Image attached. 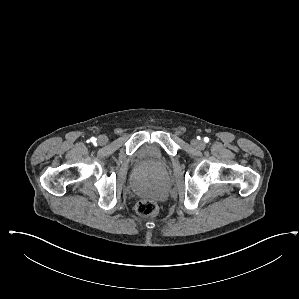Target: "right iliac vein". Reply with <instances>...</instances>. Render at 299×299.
I'll use <instances>...</instances> for the list:
<instances>
[{"mask_svg": "<svg viewBox=\"0 0 299 299\" xmlns=\"http://www.w3.org/2000/svg\"><path fill=\"white\" fill-rule=\"evenodd\" d=\"M108 142V138L105 135H100L97 138V143L101 146L105 145Z\"/></svg>", "mask_w": 299, "mask_h": 299, "instance_id": "1", "label": "right iliac vein"}]
</instances>
